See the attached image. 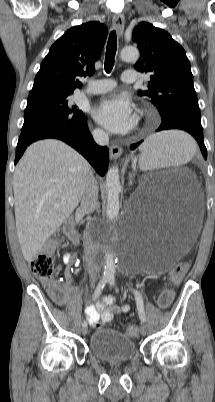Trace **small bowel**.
<instances>
[{"label":"small bowel","mask_w":215,"mask_h":402,"mask_svg":"<svg viewBox=\"0 0 215 402\" xmlns=\"http://www.w3.org/2000/svg\"><path fill=\"white\" fill-rule=\"evenodd\" d=\"M64 262L68 265L74 263L70 257H65ZM71 270L67 271V279L70 281ZM64 290L67 294L73 291V288L66 284ZM129 309L127 305L117 306L114 304L112 296H105L95 304L88 305L85 308V317L91 325H97L100 321L108 323L112 320L115 313L126 312Z\"/></svg>","instance_id":"obj_1"}]
</instances>
